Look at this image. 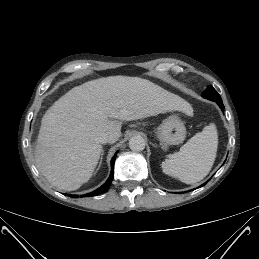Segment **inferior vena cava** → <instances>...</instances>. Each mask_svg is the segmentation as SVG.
Instances as JSON below:
<instances>
[{
    "instance_id": "inferior-vena-cava-1",
    "label": "inferior vena cava",
    "mask_w": 259,
    "mask_h": 259,
    "mask_svg": "<svg viewBox=\"0 0 259 259\" xmlns=\"http://www.w3.org/2000/svg\"><path fill=\"white\" fill-rule=\"evenodd\" d=\"M96 142L100 144H106L110 141V135L109 133L102 132L96 137Z\"/></svg>"
}]
</instances>
